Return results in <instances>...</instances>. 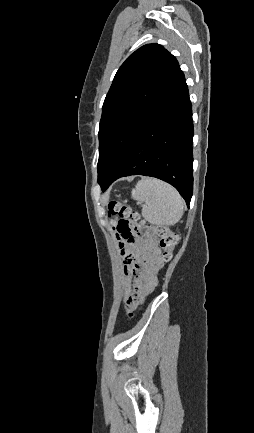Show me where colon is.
Returning <instances> with one entry per match:
<instances>
[{"mask_svg": "<svg viewBox=\"0 0 254 433\" xmlns=\"http://www.w3.org/2000/svg\"><path fill=\"white\" fill-rule=\"evenodd\" d=\"M108 216L119 217L115 230L121 253H123L125 245L132 244L137 236L156 235L162 258L165 261L172 258L179 238L168 226L144 225L140 214L121 198L108 202ZM140 301L141 299L130 298L127 300V305L130 306ZM130 315L132 314L130 313Z\"/></svg>", "mask_w": 254, "mask_h": 433, "instance_id": "obj_1", "label": "colon"}]
</instances>
